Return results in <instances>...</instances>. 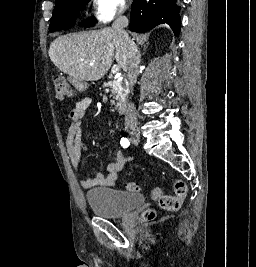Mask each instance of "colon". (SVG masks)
Masks as SVG:
<instances>
[{"label":"colon","instance_id":"5ec220e1","mask_svg":"<svg viewBox=\"0 0 256 267\" xmlns=\"http://www.w3.org/2000/svg\"><path fill=\"white\" fill-rule=\"evenodd\" d=\"M55 95L57 99L64 100L69 99L73 96V87L72 84L65 79H57L55 81ZM125 187L128 191L133 193L140 192V185L135 182H128L125 184ZM173 193L172 196L162 197L163 200L157 201L158 205L163 209L171 213H175L179 210L181 202L187 196V185L185 181L181 179L172 180ZM160 188L153 189V198L160 197L155 195H160ZM157 200L158 198H154ZM146 218H153L154 212L149 210L145 212ZM144 223H147V220H144Z\"/></svg>","mask_w":256,"mask_h":267}]
</instances>
